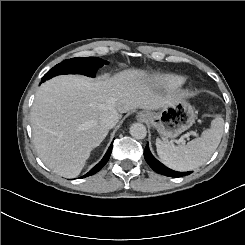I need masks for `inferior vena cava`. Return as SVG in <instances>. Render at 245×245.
Returning <instances> with one entry per match:
<instances>
[{
  "instance_id": "602c4592",
  "label": "inferior vena cava",
  "mask_w": 245,
  "mask_h": 245,
  "mask_svg": "<svg viewBox=\"0 0 245 245\" xmlns=\"http://www.w3.org/2000/svg\"><path fill=\"white\" fill-rule=\"evenodd\" d=\"M118 113L114 110L104 111L99 117V124L107 129L113 128L118 122Z\"/></svg>"
}]
</instances>
